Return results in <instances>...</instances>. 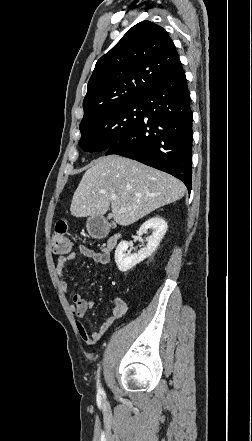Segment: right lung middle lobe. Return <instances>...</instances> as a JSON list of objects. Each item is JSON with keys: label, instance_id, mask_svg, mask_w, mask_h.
Listing matches in <instances>:
<instances>
[{"label": "right lung middle lobe", "instance_id": "1", "mask_svg": "<svg viewBox=\"0 0 252 441\" xmlns=\"http://www.w3.org/2000/svg\"><path fill=\"white\" fill-rule=\"evenodd\" d=\"M143 103L135 100L104 110L81 122L79 146L86 152L108 150L117 144L142 118Z\"/></svg>", "mask_w": 252, "mask_h": 441}]
</instances>
